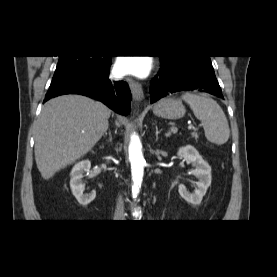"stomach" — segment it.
<instances>
[{"label": "stomach", "instance_id": "obj_1", "mask_svg": "<svg viewBox=\"0 0 277 277\" xmlns=\"http://www.w3.org/2000/svg\"><path fill=\"white\" fill-rule=\"evenodd\" d=\"M156 116L166 119H180L185 115L186 109L182 102L175 98H164L153 107Z\"/></svg>", "mask_w": 277, "mask_h": 277}]
</instances>
